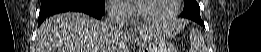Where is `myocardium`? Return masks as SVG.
<instances>
[{
    "label": "myocardium",
    "mask_w": 261,
    "mask_h": 52,
    "mask_svg": "<svg viewBox=\"0 0 261 52\" xmlns=\"http://www.w3.org/2000/svg\"><path fill=\"white\" fill-rule=\"evenodd\" d=\"M139 1H147V0H139ZM139 1H133L132 2V10L134 13V16L138 22H144V23H150V24H163L172 21L175 19L179 12H180V6H181V0H173L174 1V8L173 10L166 16L160 17V18H152L142 15L139 12L138 9V2Z\"/></svg>",
    "instance_id": "obj_1"
}]
</instances>
